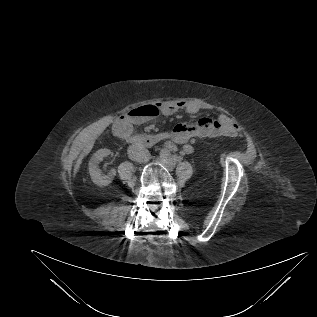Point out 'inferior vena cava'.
Returning a JSON list of instances; mask_svg holds the SVG:
<instances>
[{"instance_id": "inferior-vena-cava-1", "label": "inferior vena cava", "mask_w": 317, "mask_h": 317, "mask_svg": "<svg viewBox=\"0 0 317 317\" xmlns=\"http://www.w3.org/2000/svg\"><path fill=\"white\" fill-rule=\"evenodd\" d=\"M127 152L131 160L139 163L147 162L150 159L149 151L141 145H130Z\"/></svg>"}]
</instances>
